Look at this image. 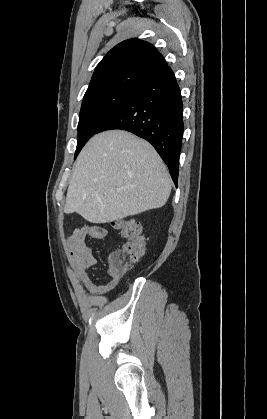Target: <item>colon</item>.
<instances>
[{
    "label": "colon",
    "mask_w": 267,
    "mask_h": 419,
    "mask_svg": "<svg viewBox=\"0 0 267 419\" xmlns=\"http://www.w3.org/2000/svg\"><path fill=\"white\" fill-rule=\"evenodd\" d=\"M113 226L120 230L126 242L122 247L113 250L109 254L108 272L112 276L120 277L142 258L145 252V245L141 227L135 220H116L113 222Z\"/></svg>",
    "instance_id": "colon-1"
}]
</instances>
